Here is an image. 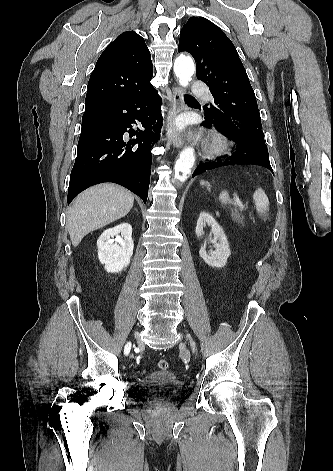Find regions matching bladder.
<instances>
[{
	"label": "bladder",
	"mask_w": 333,
	"mask_h": 471,
	"mask_svg": "<svg viewBox=\"0 0 333 471\" xmlns=\"http://www.w3.org/2000/svg\"><path fill=\"white\" fill-rule=\"evenodd\" d=\"M183 385V380L174 372L153 371L137 383L136 393L143 398L170 399L181 392Z\"/></svg>",
	"instance_id": "1"
}]
</instances>
